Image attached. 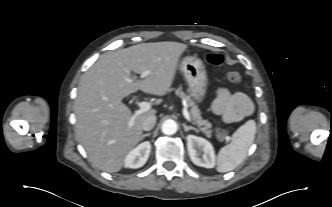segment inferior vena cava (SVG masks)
I'll list each match as a JSON object with an SVG mask.
<instances>
[{
  "label": "inferior vena cava",
  "instance_id": "602c4592",
  "mask_svg": "<svg viewBox=\"0 0 332 207\" xmlns=\"http://www.w3.org/2000/svg\"><path fill=\"white\" fill-rule=\"evenodd\" d=\"M156 123V116L155 115H150L148 116L142 123V129L145 131H149L153 129Z\"/></svg>",
  "mask_w": 332,
  "mask_h": 207
}]
</instances>
